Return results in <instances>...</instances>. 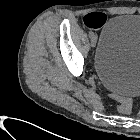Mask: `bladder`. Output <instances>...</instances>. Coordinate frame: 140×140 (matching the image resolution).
<instances>
[{
    "instance_id": "31cf9c89",
    "label": "bladder",
    "mask_w": 140,
    "mask_h": 140,
    "mask_svg": "<svg viewBox=\"0 0 140 140\" xmlns=\"http://www.w3.org/2000/svg\"><path fill=\"white\" fill-rule=\"evenodd\" d=\"M94 69L109 92L122 97L140 94V14L117 15L105 24Z\"/></svg>"
}]
</instances>
